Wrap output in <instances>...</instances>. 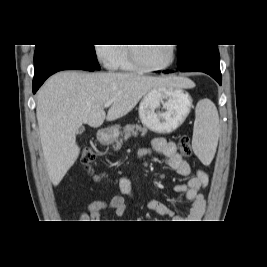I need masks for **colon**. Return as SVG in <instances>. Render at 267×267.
<instances>
[{
	"mask_svg": "<svg viewBox=\"0 0 267 267\" xmlns=\"http://www.w3.org/2000/svg\"><path fill=\"white\" fill-rule=\"evenodd\" d=\"M178 148L182 155L189 156L191 154L190 139L188 136L183 135L178 141ZM82 163L91 170L92 166L96 163V154L91 148H84L81 155Z\"/></svg>",
	"mask_w": 267,
	"mask_h": 267,
	"instance_id": "obj_1",
	"label": "colon"
}]
</instances>
